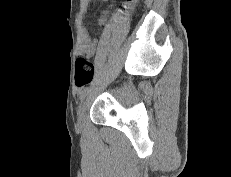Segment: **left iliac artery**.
<instances>
[{
	"label": "left iliac artery",
	"mask_w": 231,
	"mask_h": 177,
	"mask_svg": "<svg viewBox=\"0 0 231 177\" xmlns=\"http://www.w3.org/2000/svg\"><path fill=\"white\" fill-rule=\"evenodd\" d=\"M88 91H89V87H85V88L80 92V100H81V101L85 98V96L87 95Z\"/></svg>",
	"instance_id": "44dca946"
}]
</instances>
